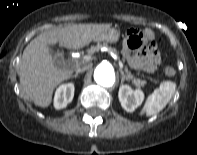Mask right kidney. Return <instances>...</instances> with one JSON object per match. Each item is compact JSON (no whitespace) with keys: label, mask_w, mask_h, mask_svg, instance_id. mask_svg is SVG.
Returning a JSON list of instances; mask_svg holds the SVG:
<instances>
[{"label":"right kidney","mask_w":197,"mask_h":155,"mask_svg":"<svg viewBox=\"0 0 197 155\" xmlns=\"http://www.w3.org/2000/svg\"><path fill=\"white\" fill-rule=\"evenodd\" d=\"M74 90L75 87L73 83L60 85L55 92L54 107L56 109L65 108L68 105V103H70L73 100Z\"/></svg>","instance_id":"obj_1"}]
</instances>
